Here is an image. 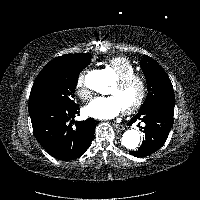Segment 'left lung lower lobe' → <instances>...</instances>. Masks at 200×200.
Segmentation results:
<instances>
[{
    "instance_id": "0a47b994",
    "label": "left lung lower lobe",
    "mask_w": 200,
    "mask_h": 200,
    "mask_svg": "<svg viewBox=\"0 0 200 200\" xmlns=\"http://www.w3.org/2000/svg\"><path fill=\"white\" fill-rule=\"evenodd\" d=\"M174 106L154 104L149 105L139 111L129 122L131 125L136 120L143 121L146 125L145 139L138 150L131 151L130 154L137 157L151 155L159 150L165 143L168 134L173 126Z\"/></svg>"
}]
</instances>
